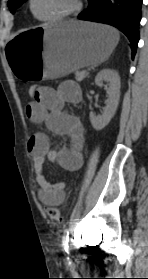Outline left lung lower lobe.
<instances>
[{"label":"left lung lower lobe","instance_id":"0a47b994","mask_svg":"<svg viewBox=\"0 0 148 279\" xmlns=\"http://www.w3.org/2000/svg\"><path fill=\"white\" fill-rule=\"evenodd\" d=\"M89 7L78 19L112 25L130 40L132 57L139 41V24L143 0H88Z\"/></svg>","mask_w":148,"mask_h":279}]
</instances>
